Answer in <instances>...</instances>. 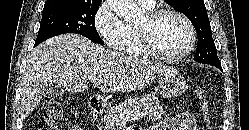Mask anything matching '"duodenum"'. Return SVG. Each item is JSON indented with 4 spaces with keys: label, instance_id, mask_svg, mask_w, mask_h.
<instances>
[{
    "label": "duodenum",
    "instance_id": "duodenum-1",
    "mask_svg": "<svg viewBox=\"0 0 249 130\" xmlns=\"http://www.w3.org/2000/svg\"><path fill=\"white\" fill-rule=\"evenodd\" d=\"M89 108L93 113H101L103 111V101L98 96H93L89 99Z\"/></svg>",
    "mask_w": 249,
    "mask_h": 130
}]
</instances>
